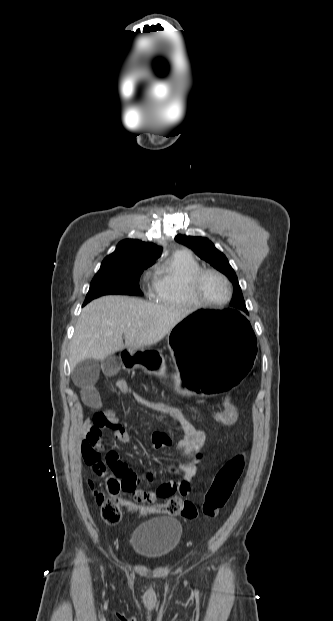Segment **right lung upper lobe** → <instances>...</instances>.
I'll return each instance as SVG.
<instances>
[{
	"label": "right lung upper lobe",
	"instance_id": "obj_1",
	"mask_svg": "<svg viewBox=\"0 0 333 621\" xmlns=\"http://www.w3.org/2000/svg\"><path fill=\"white\" fill-rule=\"evenodd\" d=\"M162 248L153 243L142 242L136 239L121 241L116 250L107 256L102 263H142L153 265L160 257Z\"/></svg>",
	"mask_w": 333,
	"mask_h": 621
}]
</instances>
